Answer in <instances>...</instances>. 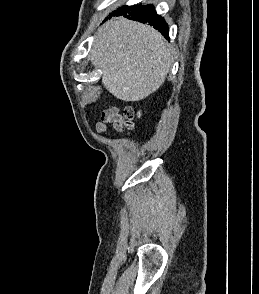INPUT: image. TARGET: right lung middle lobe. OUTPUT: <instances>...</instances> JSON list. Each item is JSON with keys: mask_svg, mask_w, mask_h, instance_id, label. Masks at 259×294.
Returning <instances> with one entry per match:
<instances>
[{"mask_svg": "<svg viewBox=\"0 0 259 294\" xmlns=\"http://www.w3.org/2000/svg\"><path fill=\"white\" fill-rule=\"evenodd\" d=\"M134 6H132V7H134ZM132 7H130V6H123V7L119 8V9H117L116 11H114L113 13H110V16L111 15H120V14L124 13L125 11H128Z\"/></svg>", "mask_w": 259, "mask_h": 294, "instance_id": "right-lung-middle-lobe-1", "label": "right lung middle lobe"}]
</instances>
